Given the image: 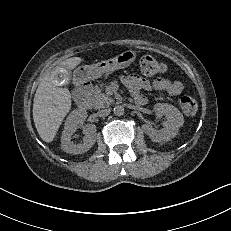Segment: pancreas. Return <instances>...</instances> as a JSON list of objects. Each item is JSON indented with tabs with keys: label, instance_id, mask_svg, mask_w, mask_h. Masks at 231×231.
Here are the masks:
<instances>
[{
	"label": "pancreas",
	"instance_id": "1",
	"mask_svg": "<svg viewBox=\"0 0 231 231\" xmlns=\"http://www.w3.org/2000/svg\"><path fill=\"white\" fill-rule=\"evenodd\" d=\"M104 84L96 85L93 89V94L90 97V104L95 109H100L109 106L114 102L107 94L102 92Z\"/></svg>",
	"mask_w": 231,
	"mask_h": 231
}]
</instances>
